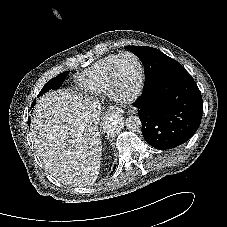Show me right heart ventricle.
Returning <instances> with one entry per match:
<instances>
[{
  "label": "right heart ventricle",
  "instance_id": "e07e8e85",
  "mask_svg": "<svg viewBox=\"0 0 227 227\" xmlns=\"http://www.w3.org/2000/svg\"><path fill=\"white\" fill-rule=\"evenodd\" d=\"M117 56L112 54L100 59L80 76L78 86L82 93L90 97L108 94L107 75Z\"/></svg>",
  "mask_w": 227,
  "mask_h": 227
}]
</instances>
